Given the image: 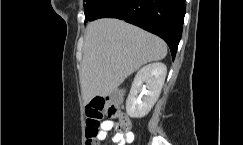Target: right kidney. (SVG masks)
<instances>
[{"label":"right kidney","mask_w":243,"mask_h":145,"mask_svg":"<svg viewBox=\"0 0 243 145\" xmlns=\"http://www.w3.org/2000/svg\"><path fill=\"white\" fill-rule=\"evenodd\" d=\"M167 68L156 62L142 67L136 74L126 101V112L132 118L146 116L161 93Z\"/></svg>","instance_id":"right-kidney-1"}]
</instances>
